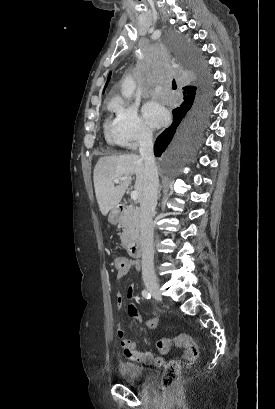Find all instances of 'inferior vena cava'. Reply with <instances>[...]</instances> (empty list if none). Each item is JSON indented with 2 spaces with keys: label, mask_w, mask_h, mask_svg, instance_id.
<instances>
[{
  "label": "inferior vena cava",
  "mask_w": 275,
  "mask_h": 409,
  "mask_svg": "<svg viewBox=\"0 0 275 409\" xmlns=\"http://www.w3.org/2000/svg\"><path fill=\"white\" fill-rule=\"evenodd\" d=\"M140 154L144 158L145 174L143 196L140 200V241L142 247V277L155 281L153 249V215L157 205L159 186L158 170L153 152L152 130H141L139 136Z\"/></svg>",
  "instance_id": "obj_1"
}]
</instances>
